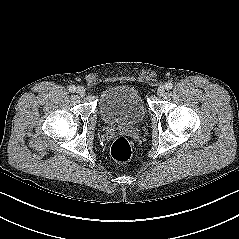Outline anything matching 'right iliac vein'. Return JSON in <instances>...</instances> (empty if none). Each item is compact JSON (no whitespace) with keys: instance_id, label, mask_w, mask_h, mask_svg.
Returning a JSON list of instances; mask_svg holds the SVG:
<instances>
[{"instance_id":"obj_1","label":"right iliac vein","mask_w":239,"mask_h":239,"mask_svg":"<svg viewBox=\"0 0 239 239\" xmlns=\"http://www.w3.org/2000/svg\"><path fill=\"white\" fill-rule=\"evenodd\" d=\"M77 94L80 95V96H84L85 94V89L81 86H79L76 90Z\"/></svg>"}]
</instances>
